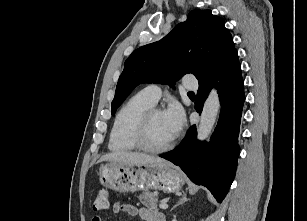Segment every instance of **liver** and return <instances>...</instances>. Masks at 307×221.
<instances>
[{"label": "liver", "instance_id": "liver-1", "mask_svg": "<svg viewBox=\"0 0 307 221\" xmlns=\"http://www.w3.org/2000/svg\"><path fill=\"white\" fill-rule=\"evenodd\" d=\"M103 161L139 165V164L163 162L164 160L159 157H155V156H151V155H147V154H143L139 152L119 151V152L108 153L102 156L98 162H103Z\"/></svg>", "mask_w": 307, "mask_h": 221}]
</instances>
